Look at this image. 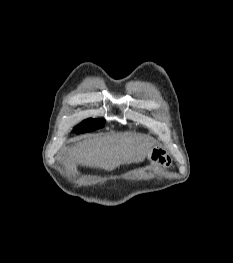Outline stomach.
<instances>
[{
	"label": "stomach",
	"instance_id": "0dacf381",
	"mask_svg": "<svg viewBox=\"0 0 233 263\" xmlns=\"http://www.w3.org/2000/svg\"><path fill=\"white\" fill-rule=\"evenodd\" d=\"M148 158L152 163L159 164L161 166H170L172 160L166 150L161 147H154L148 154Z\"/></svg>",
	"mask_w": 233,
	"mask_h": 263
}]
</instances>
